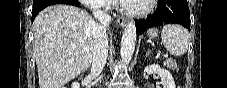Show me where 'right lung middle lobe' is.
I'll return each mask as SVG.
<instances>
[{
	"label": "right lung middle lobe",
	"instance_id": "1",
	"mask_svg": "<svg viewBox=\"0 0 227 88\" xmlns=\"http://www.w3.org/2000/svg\"><path fill=\"white\" fill-rule=\"evenodd\" d=\"M67 3H69L71 5H75V6H79L80 5L78 0H67Z\"/></svg>",
	"mask_w": 227,
	"mask_h": 88
}]
</instances>
